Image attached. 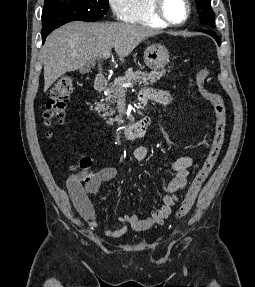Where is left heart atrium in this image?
Returning <instances> with one entry per match:
<instances>
[{
  "instance_id": "obj_1",
  "label": "left heart atrium",
  "mask_w": 255,
  "mask_h": 287,
  "mask_svg": "<svg viewBox=\"0 0 255 287\" xmlns=\"http://www.w3.org/2000/svg\"><path fill=\"white\" fill-rule=\"evenodd\" d=\"M114 33H138V32H114ZM113 39H139V38H113ZM116 48H135V47H116Z\"/></svg>"
}]
</instances>
